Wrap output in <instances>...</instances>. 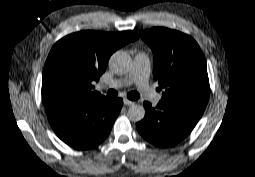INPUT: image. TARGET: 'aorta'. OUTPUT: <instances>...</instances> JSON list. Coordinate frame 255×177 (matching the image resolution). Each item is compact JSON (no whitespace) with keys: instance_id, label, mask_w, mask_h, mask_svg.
I'll list each match as a JSON object with an SVG mask.
<instances>
[{"instance_id":"aorta-1","label":"aorta","mask_w":255,"mask_h":177,"mask_svg":"<svg viewBox=\"0 0 255 177\" xmlns=\"http://www.w3.org/2000/svg\"><path fill=\"white\" fill-rule=\"evenodd\" d=\"M130 62L129 54L121 50L115 52L110 58V64L117 73H120ZM127 115L132 122H138L144 118L145 109L141 105L133 104L129 107Z\"/></svg>"}]
</instances>
